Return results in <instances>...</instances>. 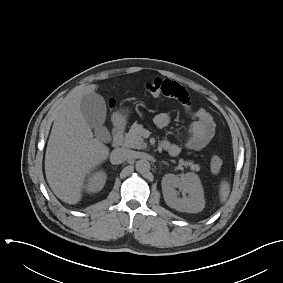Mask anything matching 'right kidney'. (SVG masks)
Returning a JSON list of instances; mask_svg holds the SVG:
<instances>
[{"instance_id": "1", "label": "right kidney", "mask_w": 283, "mask_h": 283, "mask_svg": "<svg viewBox=\"0 0 283 283\" xmlns=\"http://www.w3.org/2000/svg\"><path fill=\"white\" fill-rule=\"evenodd\" d=\"M107 176L105 172L93 173L87 180L86 190L89 193L99 192L105 185Z\"/></svg>"}]
</instances>
